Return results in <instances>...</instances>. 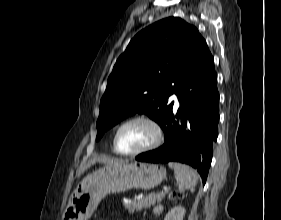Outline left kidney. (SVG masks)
<instances>
[{"mask_svg": "<svg viewBox=\"0 0 281 220\" xmlns=\"http://www.w3.org/2000/svg\"><path fill=\"white\" fill-rule=\"evenodd\" d=\"M185 213V208L182 206H175L166 214L164 220H183Z\"/></svg>", "mask_w": 281, "mask_h": 220, "instance_id": "left-kidney-1", "label": "left kidney"}]
</instances>
